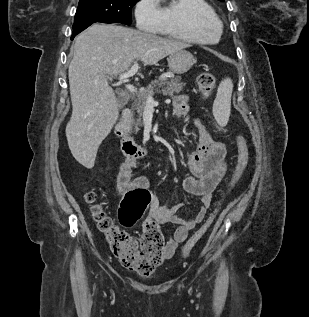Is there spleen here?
I'll return each mask as SVG.
<instances>
[{"label": "spleen", "mask_w": 309, "mask_h": 317, "mask_svg": "<svg viewBox=\"0 0 309 317\" xmlns=\"http://www.w3.org/2000/svg\"><path fill=\"white\" fill-rule=\"evenodd\" d=\"M232 91V80L230 78L223 79L217 89L213 103V115L221 126H225L230 117Z\"/></svg>", "instance_id": "1"}]
</instances>
